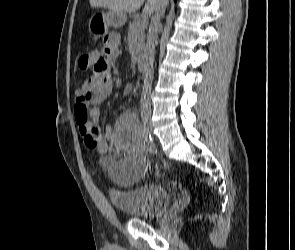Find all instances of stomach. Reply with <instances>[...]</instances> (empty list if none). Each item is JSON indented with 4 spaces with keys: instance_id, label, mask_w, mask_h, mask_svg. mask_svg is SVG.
I'll return each instance as SVG.
<instances>
[{
    "instance_id": "0dacf381",
    "label": "stomach",
    "mask_w": 295,
    "mask_h": 250,
    "mask_svg": "<svg viewBox=\"0 0 295 250\" xmlns=\"http://www.w3.org/2000/svg\"><path fill=\"white\" fill-rule=\"evenodd\" d=\"M127 20L125 12H117L109 10L101 15H94L89 23V31L93 35H106L110 26L119 28L122 27Z\"/></svg>"
}]
</instances>
